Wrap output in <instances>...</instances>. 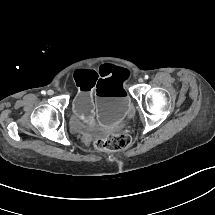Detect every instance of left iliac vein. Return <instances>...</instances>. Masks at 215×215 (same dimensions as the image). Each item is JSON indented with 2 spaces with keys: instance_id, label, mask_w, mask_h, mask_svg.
Masks as SVG:
<instances>
[{
  "instance_id": "obj_1",
  "label": "left iliac vein",
  "mask_w": 215,
  "mask_h": 215,
  "mask_svg": "<svg viewBox=\"0 0 215 215\" xmlns=\"http://www.w3.org/2000/svg\"><path fill=\"white\" fill-rule=\"evenodd\" d=\"M143 81H144L143 78H139V79H138V82H139V83H143Z\"/></svg>"
}]
</instances>
